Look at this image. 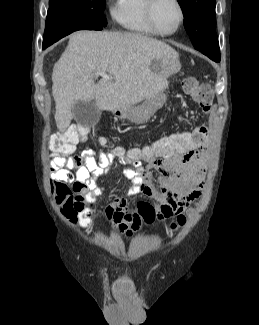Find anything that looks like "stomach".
<instances>
[{"label": "stomach", "mask_w": 259, "mask_h": 325, "mask_svg": "<svg viewBox=\"0 0 259 325\" xmlns=\"http://www.w3.org/2000/svg\"><path fill=\"white\" fill-rule=\"evenodd\" d=\"M166 102V95L159 93L157 96L146 99L141 104L120 106L111 110V112L122 119H128L132 123L140 124L146 122L159 109H161Z\"/></svg>", "instance_id": "0dacf381"}]
</instances>
